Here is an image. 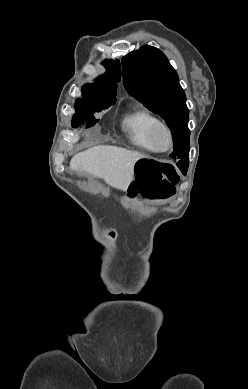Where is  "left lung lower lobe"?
I'll return each instance as SVG.
<instances>
[{
	"instance_id": "left-lung-lower-lobe-1",
	"label": "left lung lower lobe",
	"mask_w": 248,
	"mask_h": 389,
	"mask_svg": "<svg viewBox=\"0 0 248 389\" xmlns=\"http://www.w3.org/2000/svg\"><path fill=\"white\" fill-rule=\"evenodd\" d=\"M188 163H189V156H186L184 159L179 160L177 163V166L179 167V169L184 175H186L187 173Z\"/></svg>"
}]
</instances>
